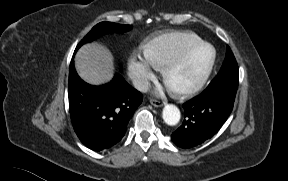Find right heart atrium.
<instances>
[{"instance_id":"d8ad5b80","label":"right heart atrium","mask_w":288,"mask_h":181,"mask_svg":"<svg viewBox=\"0 0 288 181\" xmlns=\"http://www.w3.org/2000/svg\"><path fill=\"white\" fill-rule=\"evenodd\" d=\"M158 67L146 56L139 53H132L128 59V73L135 86L141 90L148 87L150 80L154 77Z\"/></svg>"}]
</instances>
